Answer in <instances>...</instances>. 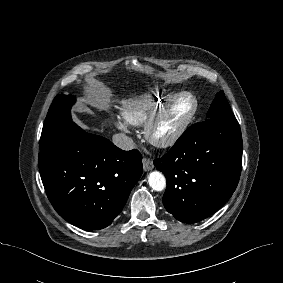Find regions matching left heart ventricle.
Returning a JSON list of instances; mask_svg holds the SVG:
<instances>
[{"label": "left heart ventricle", "instance_id": "left-heart-ventricle-1", "mask_svg": "<svg viewBox=\"0 0 283 283\" xmlns=\"http://www.w3.org/2000/svg\"><path fill=\"white\" fill-rule=\"evenodd\" d=\"M188 107L189 104L186 101H180L175 104L156 127V137L161 138L169 134L180 121V119L185 115Z\"/></svg>", "mask_w": 283, "mask_h": 283}]
</instances>
